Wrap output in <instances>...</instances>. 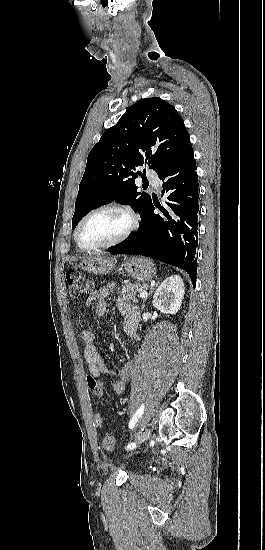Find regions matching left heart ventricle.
<instances>
[{
	"instance_id": "1",
	"label": "left heart ventricle",
	"mask_w": 265,
	"mask_h": 550,
	"mask_svg": "<svg viewBox=\"0 0 265 550\" xmlns=\"http://www.w3.org/2000/svg\"><path fill=\"white\" fill-rule=\"evenodd\" d=\"M129 219L115 210H102L91 215L81 226L79 241L90 247L108 243L119 237L128 227Z\"/></svg>"
}]
</instances>
